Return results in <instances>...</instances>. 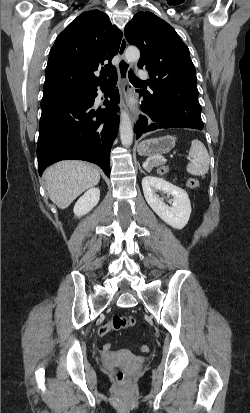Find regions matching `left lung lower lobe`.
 <instances>
[{"label": "left lung lower lobe", "instance_id": "obj_1", "mask_svg": "<svg viewBox=\"0 0 250 413\" xmlns=\"http://www.w3.org/2000/svg\"><path fill=\"white\" fill-rule=\"evenodd\" d=\"M151 91L136 90L143 97L142 111L154 123L148 124L141 116L135 125L136 138L143 133L161 128H194L203 129L201 106L198 102L196 84H166L155 88L149 84Z\"/></svg>", "mask_w": 250, "mask_h": 413}]
</instances>
